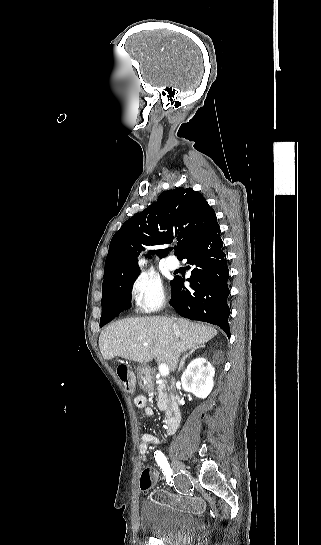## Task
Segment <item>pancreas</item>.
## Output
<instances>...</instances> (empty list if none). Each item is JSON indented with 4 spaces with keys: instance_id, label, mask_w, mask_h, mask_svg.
<instances>
[{
    "instance_id": "1",
    "label": "pancreas",
    "mask_w": 321,
    "mask_h": 545,
    "mask_svg": "<svg viewBox=\"0 0 321 545\" xmlns=\"http://www.w3.org/2000/svg\"><path fill=\"white\" fill-rule=\"evenodd\" d=\"M152 369H146L144 375H146V377H152ZM159 381H162V383H156L157 387H156V391L158 393V409H160V411H164V409H166V401H167V397H168V393H167V389H166V383L167 381H165V379H159Z\"/></svg>"
}]
</instances>
